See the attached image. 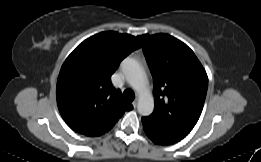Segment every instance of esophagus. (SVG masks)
Returning <instances> with one entry per match:
<instances>
[{
    "label": "esophagus",
    "mask_w": 261,
    "mask_h": 162,
    "mask_svg": "<svg viewBox=\"0 0 261 162\" xmlns=\"http://www.w3.org/2000/svg\"><path fill=\"white\" fill-rule=\"evenodd\" d=\"M132 105H133L134 108H136V106H137V100H134V101L132 102Z\"/></svg>",
    "instance_id": "34e87169"
}]
</instances>
